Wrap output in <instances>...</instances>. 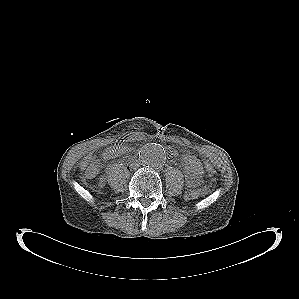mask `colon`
I'll return each mask as SVG.
<instances>
[{
    "label": "colon",
    "instance_id": "5ec220e1",
    "mask_svg": "<svg viewBox=\"0 0 299 299\" xmlns=\"http://www.w3.org/2000/svg\"><path fill=\"white\" fill-rule=\"evenodd\" d=\"M181 162L185 169H188L196 174H202L203 173V164L201 160L194 154L190 152H184L180 155ZM85 168V174L88 177H92L96 173V168L93 164L89 163L87 160L84 161ZM205 191V188H201L198 190H193L189 192L188 197L191 199L198 198L203 192Z\"/></svg>",
    "mask_w": 299,
    "mask_h": 299
}]
</instances>
